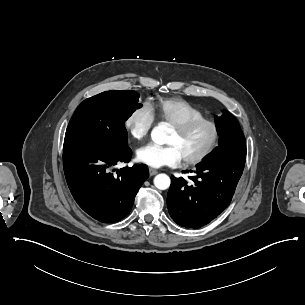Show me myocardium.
I'll list each match as a JSON object with an SVG mask.
<instances>
[{
    "label": "myocardium",
    "mask_w": 305,
    "mask_h": 305,
    "mask_svg": "<svg viewBox=\"0 0 305 305\" xmlns=\"http://www.w3.org/2000/svg\"><path fill=\"white\" fill-rule=\"evenodd\" d=\"M202 124H208L212 127L213 139L211 143L200 154L194 157L184 158L183 161L187 165L200 164L205 160H207L214 153V151L218 148L221 141V136H222L221 126L218 121L210 117L195 118L172 124V127L178 132H188L193 128H195L196 126Z\"/></svg>",
    "instance_id": "1"
}]
</instances>
